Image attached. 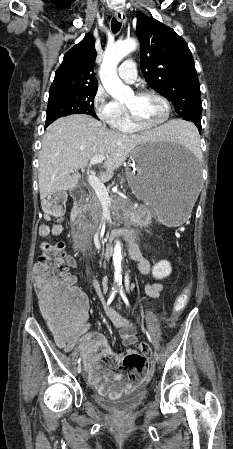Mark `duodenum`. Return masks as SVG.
I'll list each match as a JSON object with an SVG mask.
<instances>
[{
	"instance_id": "duodenum-1",
	"label": "duodenum",
	"mask_w": 233,
	"mask_h": 449,
	"mask_svg": "<svg viewBox=\"0 0 233 449\" xmlns=\"http://www.w3.org/2000/svg\"><path fill=\"white\" fill-rule=\"evenodd\" d=\"M72 197H73V201L75 203V206H74V209H73V218H74V220H76L78 218L77 207L80 206L85 201L86 193L81 191V190H77V191L73 192ZM122 235L124 237H126L127 236V232L124 231L122 233ZM112 252H113V245H112V242H109V243L106 244V246L102 250L101 257L103 259H107V258H109L112 255Z\"/></svg>"
}]
</instances>
